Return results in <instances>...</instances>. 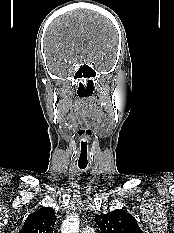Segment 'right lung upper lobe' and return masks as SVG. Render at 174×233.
I'll return each instance as SVG.
<instances>
[{"label": "right lung upper lobe", "mask_w": 174, "mask_h": 233, "mask_svg": "<svg viewBox=\"0 0 174 233\" xmlns=\"http://www.w3.org/2000/svg\"><path fill=\"white\" fill-rule=\"evenodd\" d=\"M55 222L54 210L42 207L27 217L19 233H53Z\"/></svg>", "instance_id": "cb5924a9"}]
</instances>
